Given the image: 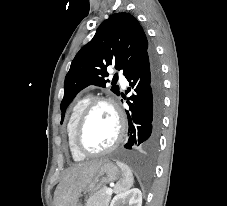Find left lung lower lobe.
<instances>
[{
  "instance_id": "0a47b994",
  "label": "left lung lower lobe",
  "mask_w": 227,
  "mask_h": 206,
  "mask_svg": "<svg viewBox=\"0 0 227 206\" xmlns=\"http://www.w3.org/2000/svg\"><path fill=\"white\" fill-rule=\"evenodd\" d=\"M125 77L130 82L127 92L132 90L133 93L127 99L129 139L124 147L151 152L159 141L163 106V82L153 50L150 49Z\"/></svg>"
}]
</instances>
